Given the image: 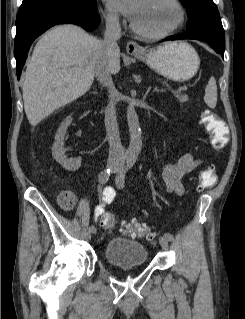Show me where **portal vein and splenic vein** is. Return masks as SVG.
Wrapping results in <instances>:
<instances>
[{
  "mask_svg": "<svg viewBox=\"0 0 245 319\" xmlns=\"http://www.w3.org/2000/svg\"><path fill=\"white\" fill-rule=\"evenodd\" d=\"M187 89V86H183L181 88H179L177 91H182V90H186Z\"/></svg>",
  "mask_w": 245,
  "mask_h": 319,
  "instance_id": "1",
  "label": "portal vein and splenic vein"
}]
</instances>
